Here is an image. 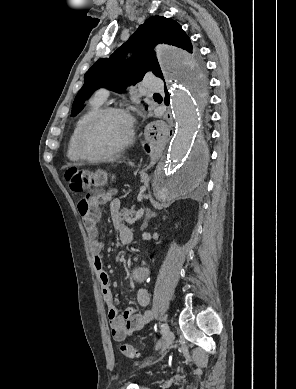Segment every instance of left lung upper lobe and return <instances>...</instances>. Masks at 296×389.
<instances>
[{
	"label": "left lung upper lobe",
	"mask_w": 296,
	"mask_h": 389,
	"mask_svg": "<svg viewBox=\"0 0 296 389\" xmlns=\"http://www.w3.org/2000/svg\"><path fill=\"white\" fill-rule=\"evenodd\" d=\"M158 43L170 44L188 51L191 54V77L195 83L205 87L204 64L181 25L170 18L153 16L140 25L128 41L109 58L99 59L86 72L84 85L73 102L71 115H77L82 110L84 101L101 87L122 92L127 86L139 82L149 71L163 79V73L152 51ZM128 52H132L133 57L123 63Z\"/></svg>",
	"instance_id": "5c2ea615"
}]
</instances>
